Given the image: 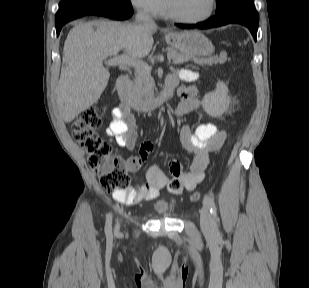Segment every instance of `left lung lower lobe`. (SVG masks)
I'll return each mask as SVG.
<instances>
[{
    "instance_id": "obj_1",
    "label": "left lung lower lobe",
    "mask_w": 309,
    "mask_h": 288,
    "mask_svg": "<svg viewBox=\"0 0 309 288\" xmlns=\"http://www.w3.org/2000/svg\"><path fill=\"white\" fill-rule=\"evenodd\" d=\"M231 23L246 26L251 31L254 40H257L259 17L252 0L237 3L223 12L216 13L215 16L205 22L197 24H176V26L184 29H208Z\"/></svg>"
}]
</instances>
